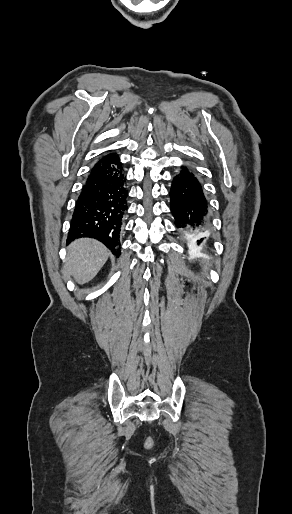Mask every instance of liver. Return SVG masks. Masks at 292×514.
<instances>
[{"label":"liver","instance_id":"6515ba94","mask_svg":"<svg viewBox=\"0 0 292 514\" xmlns=\"http://www.w3.org/2000/svg\"><path fill=\"white\" fill-rule=\"evenodd\" d=\"M108 256L109 250L97 240H75L67 248L64 274L73 276L77 284H87L97 276L100 268L107 262Z\"/></svg>","mask_w":292,"mask_h":514}]
</instances>
